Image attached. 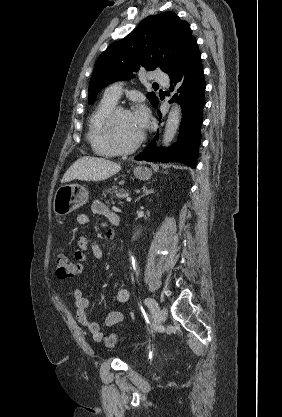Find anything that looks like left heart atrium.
I'll return each instance as SVG.
<instances>
[{"label": "left heart atrium", "mask_w": 282, "mask_h": 417, "mask_svg": "<svg viewBox=\"0 0 282 417\" xmlns=\"http://www.w3.org/2000/svg\"><path fill=\"white\" fill-rule=\"evenodd\" d=\"M135 117H136V120H137L139 126L143 129V127L145 126V124L147 122V115H146L145 111H141Z\"/></svg>", "instance_id": "obj_1"}]
</instances>
